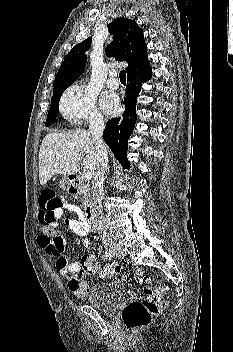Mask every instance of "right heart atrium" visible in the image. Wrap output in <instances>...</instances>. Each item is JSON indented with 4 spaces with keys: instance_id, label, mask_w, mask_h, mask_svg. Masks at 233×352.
Segmentation results:
<instances>
[{
    "instance_id": "obj_1",
    "label": "right heart atrium",
    "mask_w": 233,
    "mask_h": 352,
    "mask_svg": "<svg viewBox=\"0 0 233 352\" xmlns=\"http://www.w3.org/2000/svg\"><path fill=\"white\" fill-rule=\"evenodd\" d=\"M60 113L72 124L99 123L102 115L96 106V96L80 84L70 86L60 99Z\"/></svg>"
}]
</instances>
